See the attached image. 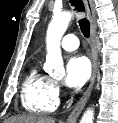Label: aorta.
Returning a JSON list of instances; mask_svg holds the SVG:
<instances>
[{"label":"aorta","instance_id":"obj_1","mask_svg":"<svg viewBox=\"0 0 118 123\" xmlns=\"http://www.w3.org/2000/svg\"><path fill=\"white\" fill-rule=\"evenodd\" d=\"M73 18L70 11L56 14L53 16L46 34V62L44 65L45 72L54 77H62L65 74L62 54H61V39L68 25ZM94 108L89 107L83 114L80 123H93Z\"/></svg>","mask_w":118,"mask_h":123}]
</instances>
